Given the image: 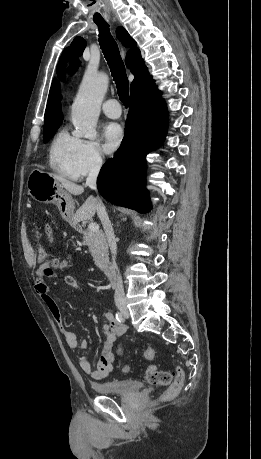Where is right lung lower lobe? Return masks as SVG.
<instances>
[{"label": "right lung lower lobe", "mask_w": 261, "mask_h": 459, "mask_svg": "<svg viewBox=\"0 0 261 459\" xmlns=\"http://www.w3.org/2000/svg\"><path fill=\"white\" fill-rule=\"evenodd\" d=\"M167 116L156 87L130 98L121 146L102 166L97 179V188L105 199L139 213L150 211L145 187L146 155L164 139Z\"/></svg>", "instance_id": "1"}]
</instances>
